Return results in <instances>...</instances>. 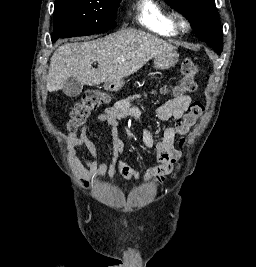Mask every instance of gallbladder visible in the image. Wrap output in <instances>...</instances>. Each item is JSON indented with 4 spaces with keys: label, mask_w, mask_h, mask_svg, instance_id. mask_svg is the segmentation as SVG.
I'll list each match as a JSON object with an SVG mask.
<instances>
[{
    "label": "gallbladder",
    "mask_w": 256,
    "mask_h": 267,
    "mask_svg": "<svg viewBox=\"0 0 256 267\" xmlns=\"http://www.w3.org/2000/svg\"><path fill=\"white\" fill-rule=\"evenodd\" d=\"M83 86L84 84L79 82L77 78H68L62 86V90L66 96H69V98H76V96H80Z\"/></svg>",
    "instance_id": "gallbladder-1"
}]
</instances>
